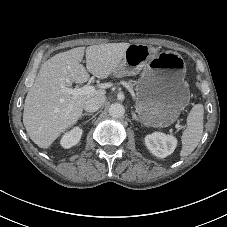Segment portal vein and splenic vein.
Masks as SVG:
<instances>
[{"label": "portal vein and splenic vein", "instance_id": "portal-vein-and-splenic-vein-1", "mask_svg": "<svg viewBox=\"0 0 227 227\" xmlns=\"http://www.w3.org/2000/svg\"><path fill=\"white\" fill-rule=\"evenodd\" d=\"M65 92L71 94L74 98L78 97L79 95H86V94H91L95 91V87L94 86H90L88 84L84 85L81 88H65L64 89ZM176 129H182L184 128V126H181L180 124H176L175 125Z\"/></svg>", "mask_w": 227, "mask_h": 227}]
</instances>
